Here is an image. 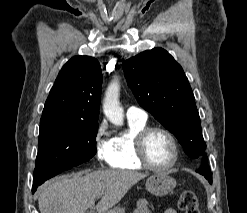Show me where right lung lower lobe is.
Instances as JSON below:
<instances>
[{"label":"right lung lower lobe","instance_id":"98d812e1","mask_svg":"<svg viewBox=\"0 0 247 213\" xmlns=\"http://www.w3.org/2000/svg\"><path fill=\"white\" fill-rule=\"evenodd\" d=\"M37 186H38V185H34V184H33L32 192H34V191L36 190Z\"/></svg>","mask_w":247,"mask_h":213}]
</instances>
